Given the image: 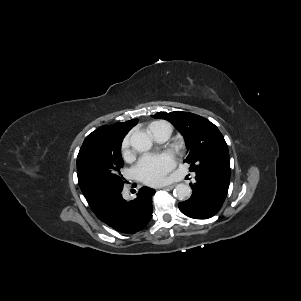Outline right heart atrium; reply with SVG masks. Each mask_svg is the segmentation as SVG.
I'll list each match as a JSON object with an SVG mask.
<instances>
[{"mask_svg": "<svg viewBox=\"0 0 301 301\" xmlns=\"http://www.w3.org/2000/svg\"><path fill=\"white\" fill-rule=\"evenodd\" d=\"M130 147H131L130 135H126L121 143V153H122V157L125 160H130L132 158V151Z\"/></svg>", "mask_w": 301, "mask_h": 301, "instance_id": "obj_1", "label": "right heart atrium"}]
</instances>
